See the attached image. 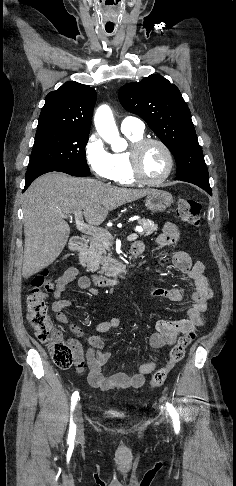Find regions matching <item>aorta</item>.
<instances>
[{"instance_id": "aorta-1", "label": "aorta", "mask_w": 236, "mask_h": 486, "mask_svg": "<svg viewBox=\"0 0 236 486\" xmlns=\"http://www.w3.org/2000/svg\"><path fill=\"white\" fill-rule=\"evenodd\" d=\"M94 122L97 132L111 145L113 151H123L126 148V141L120 137L113 114L108 106L103 105L98 108Z\"/></svg>"}]
</instances>
